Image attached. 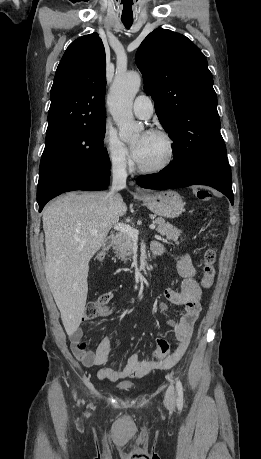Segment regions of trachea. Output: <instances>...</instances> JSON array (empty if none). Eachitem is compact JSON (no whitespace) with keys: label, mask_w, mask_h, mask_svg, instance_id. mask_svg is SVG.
<instances>
[{"label":"trachea","mask_w":261,"mask_h":459,"mask_svg":"<svg viewBox=\"0 0 261 459\" xmlns=\"http://www.w3.org/2000/svg\"><path fill=\"white\" fill-rule=\"evenodd\" d=\"M123 24L125 25L126 28H130L133 21L132 20H122Z\"/></svg>","instance_id":"3493384b"}]
</instances>
